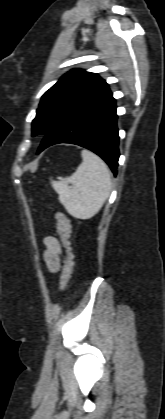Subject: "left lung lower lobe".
<instances>
[{
  "mask_svg": "<svg viewBox=\"0 0 165 419\" xmlns=\"http://www.w3.org/2000/svg\"><path fill=\"white\" fill-rule=\"evenodd\" d=\"M115 99L109 88L74 107L42 140L37 154L58 143L85 147L110 166H118V129Z\"/></svg>",
  "mask_w": 165,
  "mask_h": 419,
  "instance_id": "1",
  "label": "left lung lower lobe"
}]
</instances>
